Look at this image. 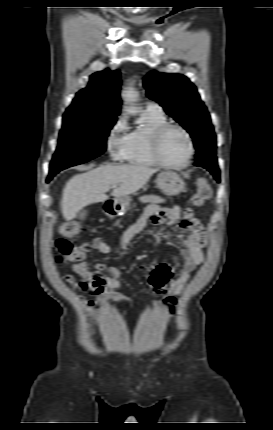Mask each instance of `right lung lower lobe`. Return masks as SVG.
Segmentation results:
<instances>
[{"instance_id":"1","label":"right lung lower lobe","mask_w":273,"mask_h":430,"mask_svg":"<svg viewBox=\"0 0 273 430\" xmlns=\"http://www.w3.org/2000/svg\"><path fill=\"white\" fill-rule=\"evenodd\" d=\"M53 176H54V175L49 174V176H48V178H47L46 182L48 183V182L52 179V177H53Z\"/></svg>"}]
</instances>
